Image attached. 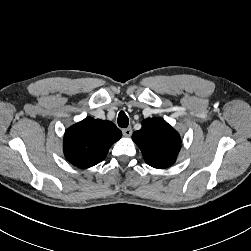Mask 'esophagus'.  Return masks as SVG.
<instances>
[{
    "instance_id": "esophagus-1",
    "label": "esophagus",
    "mask_w": 251,
    "mask_h": 251,
    "mask_svg": "<svg viewBox=\"0 0 251 251\" xmlns=\"http://www.w3.org/2000/svg\"><path fill=\"white\" fill-rule=\"evenodd\" d=\"M122 132L124 136L129 137L132 134V128L131 127L125 128L122 130Z\"/></svg>"
}]
</instances>
